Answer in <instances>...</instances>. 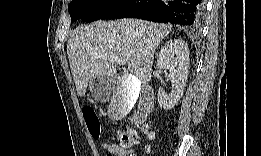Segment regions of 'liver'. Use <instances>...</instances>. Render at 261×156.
Returning <instances> with one entry per match:
<instances>
[{
  "instance_id": "6515ba94",
  "label": "liver",
  "mask_w": 261,
  "mask_h": 156,
  "mask_svg": "<svg viewBox=\"0 0 261 156\" xmlns=\"http://www.w3.org/2000/svg\"><path fill=\"white\" fill-rule=\"evenodd\" d=\"M171 26L139 19L97 21L77 27L67 42V55L77 93L84 96L91 80L117 76V70L108 55L125 59L128 70L139 81L151 80L154 54L160 42L170 33ZM134 100L121 94L113 96L109 117L122 118L133 106Z\"/></svg>"
}]
</instances>
